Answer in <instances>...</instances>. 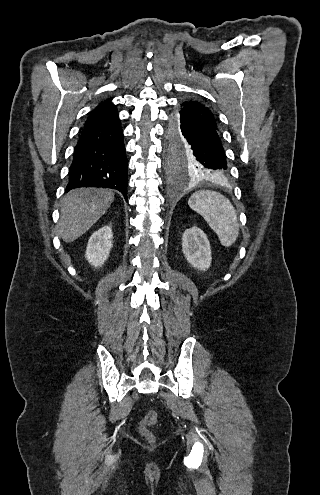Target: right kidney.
<instances>
[{
    "label": "right kidney",
    "instance_id": "right-kidney-1",
    "mask_svg": "<svg viewBox=\"0 0 320 495\" xmlns=\"http://www.w3.org/2000/svg\"><path fill=\"white\" fill-rule=\"evenodd\" d=\"M112 229L104 226L94 232L88 241L85 257L94 267H101L107 260L112 248Z\"/></svg>",
    "mask_w": 320,
    "mask_h": 495
}]
</instances>
